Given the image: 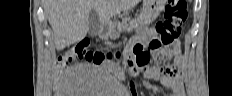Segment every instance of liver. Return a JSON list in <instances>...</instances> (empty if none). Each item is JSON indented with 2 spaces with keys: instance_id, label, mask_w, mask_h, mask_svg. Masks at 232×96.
<instances>
[{
  "instance_id": "1",
  "label": "liver",
  "mask_w": 232,
  "mask_h": 96,
  "mask_svg": "<svg viewBox=\"0 0 232 96\" xmlns=\"http://www.w3.org/2000/svg\"><path fill=\"white\" fill-rule=\"evenodd\" d=\"M140 0H45L46 15L54 33L55 47L63 50L89 31V13L96 10L101 23L134 7Z\"/></svg>"
}]
</instances>
